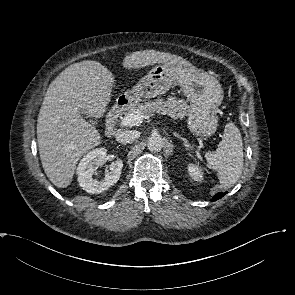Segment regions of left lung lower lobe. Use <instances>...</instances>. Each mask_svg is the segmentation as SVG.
<instances>
[{
    "mask_svg": "<svg viewBox=\"0 0 295 295\" xmlns=\"http://www.w3.org/2000/svg\"><path fill=\"white\" fill-rule=\"evenodd\" d=\"M225 194H226V193H222V192L217 193V194L211 199V201L218 200V199L222 198Z\"/></svg>",
    "mask_w": 295,
    "mask_h": 295,
    "instance_id": "1",
    "label": "left lung lower lobe"
}]
</instances>
